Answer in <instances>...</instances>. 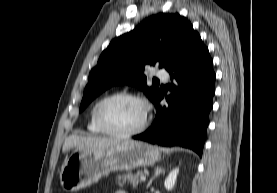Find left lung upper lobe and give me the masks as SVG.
I'll return each instance as SVG.
<instances>
[{
    "label": "left lung upper lobe",
    "mask_w": 277,
    "mask_h": 193,
    "mask_svg": "<svg viewBox=\"0 0 277 193\" xmlns=\"http://www.w3.org/2000/svg\"><path fill=\"white\" fill-rule=\"evenodd\" d=\"M197 35L192 24L178 13H160L115 38L89 74L80 111L107 88L124 83L137 86L156 102L161 91L156 86L147 87L144 67L157 63L169 71L182 60Z\"/></svg>",
    "instance_id": "1"
}]
</instances>
